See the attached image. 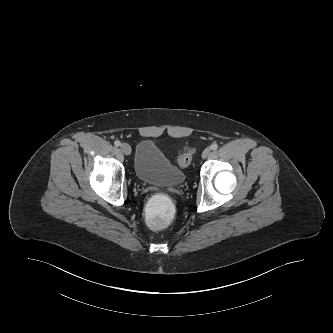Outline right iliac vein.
Here are the masks:
<instances>
[{
  "mask_svg": "<svg viewBox=\"0 0 333 333\" xmlns=\"http://www.w3.org/2000/svg\"><path fill=\"white\" fill-rule=\"evenodd\" d=\"M120 149L125 155H129L131 153V147L127 143L121 144Z\"/></svg>",
  "mask_w": 333,
  "mask_h": 333,
  "instance_id": "63e3f726",
  "label": "right iliac vein"
}]
</instances>
